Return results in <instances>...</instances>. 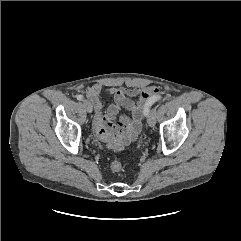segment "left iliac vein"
I'll list each match as a JSON object with an SVG mask.
<instances>
[{
  "mask_svg": "<svg viewBox=\"0 0 241 241\" xmlns=\"http://www.w3.org/2000/svg\"><path fill=\"white\" fill-rule=\"evenodd\" d=\"M147 122L150 127H154L156 123V113L155 110H151L147 116Z\"/></svg>",
  "mask_w": 241,
  "mask_h": 241,
  "instance_id": "1",
  "label": "left iliac vein"
}]
</instances>
